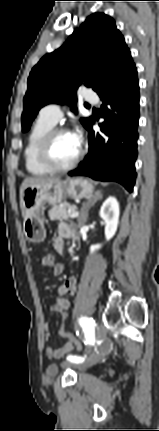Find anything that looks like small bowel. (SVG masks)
<instances>
[{
    "mask_svg": "<svg viewBox=\"0 0 159 431\" xmlns=\"http://www.w3.org/2000/svg\"><path fill=\"white\" fill-rule=\"evenodd\" d=\"M73 231L70 226L66 224H61L58 228V236L54 238L53 245L55 249L63 253L64 249V238L72 237ZM55 262V271L53 272L54 276L60 275L64 271V265L59 262ZM41 267L46 268V259L45 257L41 260ZM57 297L55 299V304L52 307L53 311L61 312L62 310H67L70 306V298L74 296L76 292V278L74 276L69 277L62 283L60 286H58L57 290ZM42 329L44 331V338L45 340H48L50 338V332H49V324L48 322L44 321L42 323ZM67 341L64 345L56 348V347H47L46 348V354L49 358H60L75 348V346L70 343V341L65 338Z\"/></svg>",
    "mask_w": 159,
    "mask_h": 431,
    "instance_id": "c3829d8e",
    "label": "small bowel"
}]
</instances>
